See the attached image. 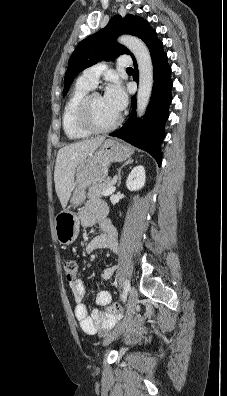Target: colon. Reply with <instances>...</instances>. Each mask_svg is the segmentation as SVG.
I'll return each mask as SVG.
<instances>
[{
    "label": "colon",
    "mask_w": 227,
    "mask_h": 396,
    "mask_svg": "<svg viewBox=\"0 0 227 396\" xmlns=\"http://www.w3.org/2000/svg\"><path fill=\"white\" fill-rule=\"evenodd\" d=\"M63 271L66 279L68 281H73L76 278L78 272L77 262L73 259H66L63 262ZM106 310L111 313H118L120 312L121 307L118 303H111L107 306Z\"/></svg>",
    "instance_id": "5ec220e1"
}]
</instances>
